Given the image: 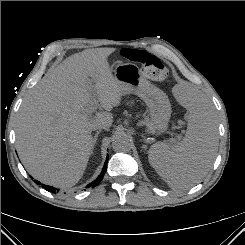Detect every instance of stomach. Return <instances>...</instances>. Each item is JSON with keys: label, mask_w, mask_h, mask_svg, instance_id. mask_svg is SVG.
Masks as SVG:
<instances>
[{"label": "stomach", "mask_w": 245, "mask_h": 245, "mask_svg": "<svg viewBox=\"0 0 245 245\" xmlns=\"http://www.w3.org/2000/svg\"><path fill=\"white\" fill-rule=\"evenodd\" d=\"M114 77L119 82L123 94H135L146 103L152 132H165L171 116V104L166 93L146 80L140 69L132 63L117 65Z\"/></svg>", "instance_id": "0dacf381"}]
</instances>
